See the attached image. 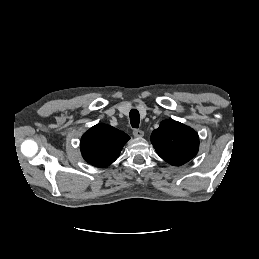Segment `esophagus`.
I'll use <instances>...</instances> for the list:
<instances>
[{"label": "esophagus", "mask_w": 259, "mask_h": 259, "mask_svg": "<svg viewBox=\"0 0 259 259\" xmlns=\"http://www.w3.org/2000/svg\"><path fill=\"white\" fill-rule=\"evenodd\" d=\"M133 135L136 137V138H141L144 136V133L142 130L140 129H134L133 130Z\"/></svg>", "instance_id": "obj_1"}]
</instances>
